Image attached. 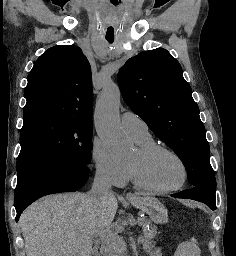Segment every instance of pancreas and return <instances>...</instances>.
<instances>
[{
	"label": "pancreas",
	"mask_w": 236,
	"mask_h": 256,
	"mask_svg": "<svg viewBox=\"0 0 236 256\" xmlns=\"http://www.w3.org/2000/svg\"><path fill=\"white\" fill-rule=\"evenodd\" d=\"M116 224H123V219H116ZM127 223H130V220H127ZM151 222H141V227H149ZM151 232L149 230H143V234L145 238H136V243H149L152 238H155L157 232L156 226H152L150 228ZM105 236L100 237L99 241L103 242L104 248L103 253L104 254H116L120 253V250H116V248L123 249L125 246V243L123 242L122 238L118 236V234H126V229H124V226H106V229L104 230Z\"/></svg>",
	"instance_id": "cf45deb5"
}]
</instances>
